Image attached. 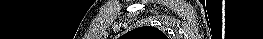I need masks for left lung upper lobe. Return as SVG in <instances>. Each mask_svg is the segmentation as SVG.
Returning a JSON list of instances; mask_svg holds the SVG:
<instances>
[{"label": "left lung upper lobe", "instance_id": "1", "mask_svg": "<svg viewBox=\"0 0 263 39\" xmlns=\"http://www.w3.org/2000/svg\"><path fill=\"white\" fill-rule=\"evenodd\" d=\"M121 38L123 39H168V37L160 30L151 26L136 28Z\"/></svg>", "mask_w": 263, "mask_h": 39}]
</instances>
